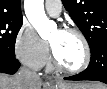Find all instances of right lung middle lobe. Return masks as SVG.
Returning a JSON list of instances; mask_svg holds the SVG:
<instances>
[{
  "label": "right lung middle lobe",
  "mask_w": 107,
  "mask_h": 89,
  "mask_svg": "<svg viewBox=\"0 0 107 89\" xmlns=\"http://www.w3.org/2000/svg\"><path fill=\"white\" fill-rule=\"evenodd\" d=\"M23 18L0 16V55L15 58L16 36L22 26Z\"/></svg>",
  "instance_id": "right-lung-middle-lobe-1"
}]
</instances>
